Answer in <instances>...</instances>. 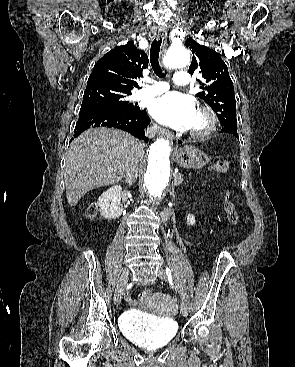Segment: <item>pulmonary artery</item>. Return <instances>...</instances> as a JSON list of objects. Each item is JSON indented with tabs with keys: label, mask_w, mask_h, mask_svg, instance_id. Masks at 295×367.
Returning <instances> with one entry per match:
<instances>
[{
	"label": "pulmonary artery",
	"mask_w": 295,
	"mask_h": 367,
	"mask_svg": "<svg viewBox=\"0 0 295 367\" xmlns=\"http://www.w3.org/2000/svg\"><path fill=\"white\" fill-rule=\"evenodd\" d=\"M174 83L178 86H187L190 84V75L186 71H178L174 75ZM169 89V85L164 81L153 82L134 94L135 100H143L163 94Z\"/></svg>",
	"instance_id": "obj_1"
}]
</instances>
